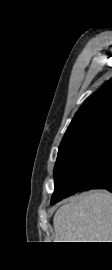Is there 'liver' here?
I'll return each instance as SVG.
<instances>
[{
	"label": "liver",
	"mask_w": 112,
	"mask_h": 270,
	"mask_svg": "<svg viewBox=\"0 0 112 270\" xmlns=\"http://www.w3.org/2000/svg\"><path fill=\"white\" fill-rule=\"evenodd\" d=\"M53 225L56 242H112V194L94 190L72 198Z\"/></svg>",
	"instance_id": "1"
}]
</instances>
